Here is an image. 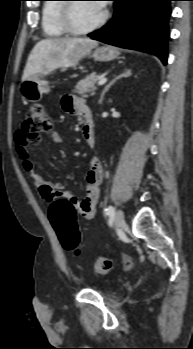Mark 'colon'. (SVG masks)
Segmentation results:
<instances>
[{
    "mask_svg": "<svg viewBox=\"0 0 193 349\" xmlns=\"http://www.w3.org/2000/svg\"><path fill=\"white\" fill-rule=\"evenodd\" d=\"M52 130V118L42 106L34 105L26 111L22 131L27 141L39 142L51 136ZM49 219L63 248L79 254L80 233L75 206L65 199L55 200L49 207ZM113 267V262L104 257H98L94 263L95 270L100 274H107Z\"/></svg>",
    "mask_w": 193,
    "mask_h": 349,
    "instance_id": "obj_1",
    "label": "colon"
}]
</instances>
